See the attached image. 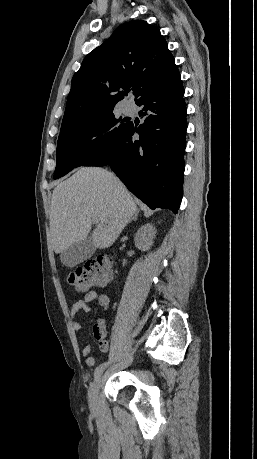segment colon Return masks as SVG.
<instances>
[{
	"label": "colon",
	"instance_id": "5ec220e1",
	"mask_svg": "<svg viewBox=\"0 0 257 459\" xmlns=\"http://www.w3.org/2000/svg\"><path fill=\"white\" fill-rule=\"evenodd\" d=\"M110 260L108 258L87 261L84 266L73 269L68 282L77 291L86 292L93 286L106 284L110 280Z\"/></svg>",
	"mask_w": 257,
	"mask_h": 459
}]
</instances>
